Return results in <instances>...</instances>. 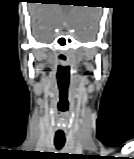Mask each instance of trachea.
Listing matches in <instances>:
<instances>
[{
    "mask_svg": "<svg viewBox=\"0 0 134 159\" xmlns=\"http://www.w3.org/2000/svg\"><path fill=\"white\" fill-rule=\"evenodd\" d=\"M54 144L56 149L60 150L65 144V135L64 133H56L54 138Z\"/></svg>",
    "mask_w": 134,
    "mask_h": 159,
    "instance_id": "obj_1",
    "label": "trachea"
}]
</instances>
